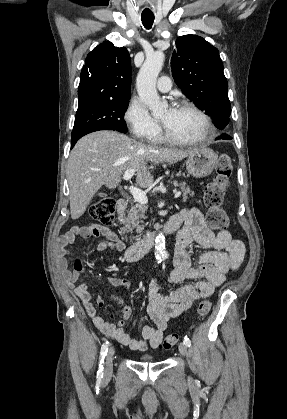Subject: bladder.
I'll use <instances>...</instances> for the list:
<instances>
[{"instance_id": "obj_1", "label": "bladder", "mask_w": 287, "mask_h": 419, "mask_svg": "<svg viewBox=\"0 0 287 419\" xmlns=\"http://www.w3.org/2000/svg\"><path fill=\"white\" fill-rule=\"evenodd\" d=\"M141 359H142V360H145V361L151 360V358H150V357H148V356H144V357H142Z\"/></svg>"}]
</instances>
